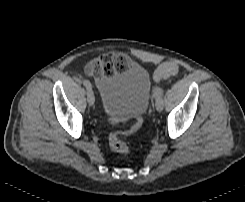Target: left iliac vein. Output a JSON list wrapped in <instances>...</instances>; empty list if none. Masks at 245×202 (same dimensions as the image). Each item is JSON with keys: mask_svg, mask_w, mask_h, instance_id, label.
I'll return each instance as SVG.
<instances>
[{"mask_svg": "<svg viewBox=\"0 0 245 202\" xmlns=\"http://www.w3.org/2000/svg\"><path fill=\"white\" fill-rule=\"evenodd\" d=\"M155 106H156V110L161 112L164 108V102L162 99H158L155 103Z\"/></svg>", "mask_w": 245, "mask_h": 202, "instance_id": "obj_1", "label": "left iliac vein"}]
</instances>
